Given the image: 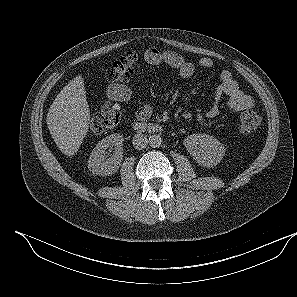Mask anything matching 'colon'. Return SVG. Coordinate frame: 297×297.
<instances>
[{"label": "colon", "mask_w": 297, "mask_h": 297, "mask_svg": "<svg viewBox=\"0 0 297 297\" xmlns=\"http://www.w3.org/2000/svg\"><path fill=\"white\" fill-rule=\"evenodd\" d=\"M138 62L134 53H128L115 61L109 68L106 79L108 82H117L132 71ZM122 118V113L117 108H106L101 110L90 122L92 133L105 134L116 128ZM262 122V115L255 110L244 112L239 119L238 132L240 135H249L257 130Z\"/></svg>", "instance_id": "colon-1"}]
</instances>
